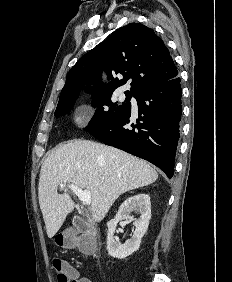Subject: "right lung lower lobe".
<instances>
[{"instance_id": "98d812e1", "label": "right lung lower lobe", "mask_w": 232, "mask_h": 282, "mask_svg": "<svg viewBox=\"0 0 232 282\" xmlns=\"http://www.w3.org/2000/svg\"><path fill=\"white\" fill-rule=\"evenodd\" d=\"M181 84L178 76L144 86L134 97L138 119L131 123V108L91 135L104 144L145 159L171 178L180 137L182 114Z\"/></svg>"}]
</instances>
